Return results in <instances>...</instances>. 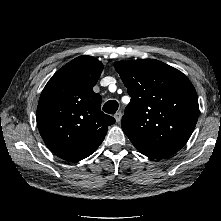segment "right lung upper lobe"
<instances>
[{"label":"right lung upper lobe","mask_w":221,"mask_h":221,"mask_svg":"<svg viewBox=\"0 0 221 221\" xmlns=\"http://www.w3.org/2000/svg\"><path fill=\"white\" fill-rule=\"evenodd\" d=\"M102 63L79 56L61 69L43 89L37 108V126L48 148L75 162L91 155L102 143L115 119L101 111V96L94 93Z\"/></svg>","instance_id":"1"}]
</instances>
